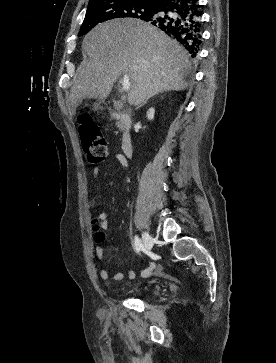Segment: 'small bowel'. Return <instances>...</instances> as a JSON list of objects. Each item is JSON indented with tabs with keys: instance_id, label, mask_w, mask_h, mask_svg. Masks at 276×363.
Masks as SVG:
<instances>
[{
	"instance_id": "small-bowel-1",
	"label": "small bowel",
	"mask_w": 276,
	"mask_h": 363,
	"mask_svg": "<svg viewBox=\"0 0 276 363\" xmlns=\"http://www.w3.org/2000/svg\"><path fill=\"white\" fill-rule=\"evenodd\" d=\"M92 174L94 177L97 178L100 174V169L98 167L93 168ZM95 219L100 228L106 229L108 227L107 214L105 212H103V211L99 212L96 215ZM96 252H97V256H98L99 260H103L104 255H103L102 247H97ZM157 268H158L157 264L155 262H151L150 265L146 269H143L140 272V276L142 278L149 277L154 271L157 270ZM99 275L102 280H109L111 278L110 272L106 268L100 270ZM135 277H136V273L133 270H128L126 273H122V272L115 273L112 276V279L115 281H122L125 278L133 280Z\"/></svg>"
}]
</instances>
